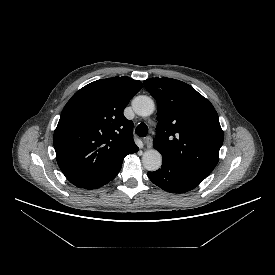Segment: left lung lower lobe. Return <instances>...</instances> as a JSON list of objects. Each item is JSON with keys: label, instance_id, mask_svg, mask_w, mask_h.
Segmentation results:
<instances>
[{"label": "left lung lower lobe", "instance_id": "left-lung-lower-lobe-1", "mask_svg": "<svg viewBox=\"0 0 275 275\" xmlns=\"http://www.w3.org/2000/svg\"><path fill=\"white\" fill-rule=\"evenodd\" d=\"M148 177L155 185L171 193L190 191L206 178L168 159H163L157 171L148 172Z\"/></svg>", "mask_w": 275, "mask_h": 275}]
</instances>
